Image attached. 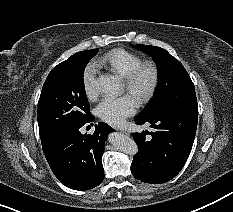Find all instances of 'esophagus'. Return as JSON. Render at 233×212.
<instances>
[{
    "label": "esophagus",
    "mask_w": 233,
    "mask_h": 212,
    "mask_svg": "<svg viewBox=\"0 0 233 212\" xmlns=\"http://www.w3.org/2000/svg\"><path fill=\"white\" fill-rule=\"evenodd\" d=\"M119 131H120L121 133H123V134L129 135V132L126 131V130H124V129H119Z\"/></svg>",
    "instance_id": "1"
}]
</instances>
